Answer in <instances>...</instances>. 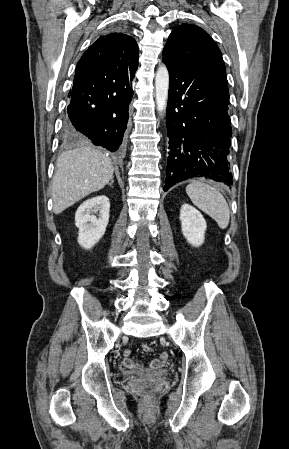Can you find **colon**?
<instances>
[{
    "label": "colon",
    "mask_w": 289,
    "mask_h": 449,
    "mask_svg": "<svg viewBox=\"0 0 289 449\" xmlns=\"http://www.w3.org/2000/svg\"><path fill=\"white\" fill-rule=\"evenodd\" d=\"M142 349L145 351V352H151L152 350H153V348H152V346L151 345H149V344H147V343H144L143 345H142ZM164 353V352H163ZM163 353H161V354H163ZM166 353V352H165ZM167 354V353H166ZM161 356V355H160ZM160 358V357H159Z\"/></svg>",
    "instance_id": "colon-1"
}]
</instances>
